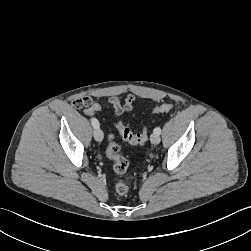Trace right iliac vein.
I'll return each instance as SVG.
<instances>
[{
  "instance_id": "63e3f726",
  "label": "right iliac vein",
  "mask_w": 251,
  "mask_h": 251,
  "mask_svg": "<svg viewBox=\"0 0 251 251\" xmlns=\"http://www.w3.org/2000/svg\"><path fill=\"white\" fill-rule=\"evenodd\" d=\"M103 132L100 128H95L94 130V138L96 141L101 142L103 140Z\"/></svg>"
}]
</instances>
